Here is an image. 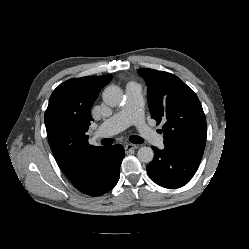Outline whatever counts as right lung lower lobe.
<instances>
[{
  "instance_id": "obj_1",
  "label": "right lung lower lobe",
  "mask_w": 249,
  "mask_h": 249,
  "mask_svg": "<svg viewBox=\"0 0 249 249\" xmlns=\"http://www.w3.org/2000/svg\"><path fill=\"white\" fill-rule=\"evenodd\" d=\"M125 156L122 145L106 147L105 151L87 163L73 185L82 193L100 196L110 191L119 180L120 165Z\"/></svg>"
}]
</instances>
